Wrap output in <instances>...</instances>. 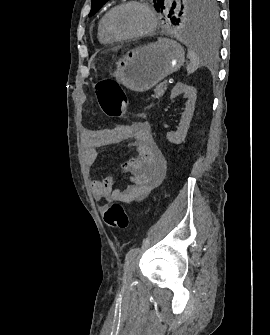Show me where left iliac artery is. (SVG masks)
<instances>
[{
    "instance_id": "obj_1",
    "label": "left iliac artery",
    "mask_w": 270,
    "mask_h": 335,
    "mask_svg": "<svg viewBox=\"0 0 270 335\" xmlns=\"http://www.w3.org/2000/svg\"><path fill=\"white\" fill-rule=\"evenodd\" d=\"M139 248H132L125 257L124 268L131 262V260L138 254Z\"/></svg>"
}]
</instances>
